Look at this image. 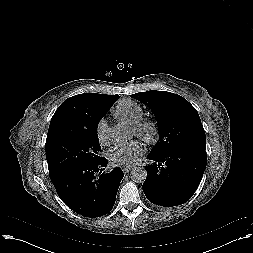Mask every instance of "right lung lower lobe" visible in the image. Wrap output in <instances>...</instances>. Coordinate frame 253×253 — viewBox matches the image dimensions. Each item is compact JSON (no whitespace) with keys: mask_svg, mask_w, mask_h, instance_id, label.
I'll use <instances>...</instances> for the list:
<instances>
[{"mask_svg":"<svg viewBox=\"0 0 253 253\" xmlns=\"http://www.w3.org/2000/svg\"><path fill=\"white\" fill-rule=\"evenodd\" d=\"M107 163L103 157L96 163L52 173L50 179L60 199L70 209L85 217H100L112 210L124 176L119 167L102 173Z\"/></svg>","mask_w":253,"mask_h":253,"instance_id":"98d812e1","label":"right lung lower lobe"}]
</instances>
